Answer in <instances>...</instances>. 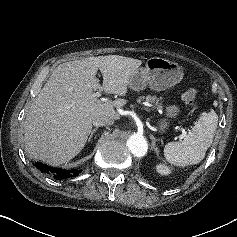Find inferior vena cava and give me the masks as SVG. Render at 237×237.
<instances>
[{
	"mask_svg": "<svg viewBox=\"0 0 237 237\" xmlns=\"http://www.w3.org/2000/svg\"><path fill=\"white\" fill-rule=\"evenodd\" d=\"M114 123V119L108 116H98L93 120V125L96 127L109 126Z\"/></svg>",
	"mask_w": 237,
	"mask_h": 237,
	"instance_id": "1",
	"label": "inferior vena cava"
}]
</instances>
